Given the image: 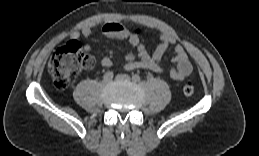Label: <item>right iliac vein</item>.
<instances>
[{
    "mask_svg": "<svg viewBox=\"0 0 259 156\" xmlns=\"http://www.w3.org/2000/svg\"><path fill=\"white\" fill-rule=\"evenodd\" d=\"M108 83H110V80H109V79H104V80H103V84H104V85H106V84H108Z\"/></svg>",
    "mask_w": 259,
    "mask_h": 156,
    "instance_id": "obj_1",
    "label": "right iliac vein"
}]
</instances>
